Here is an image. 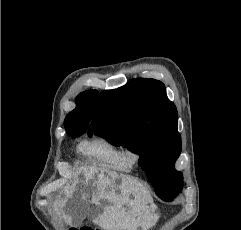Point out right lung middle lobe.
Returning a JSON list of instances; mask_svg holds the SVG:
<instances>
[{
  "instance_id": "right-lung-middle-lobe-1",
  "label": "right lung middle lobe",
  "mask_w": 241,
  "mask_h": 230,
  "mask_svg": "<svg viewBox=\"0 0 241 230\" xmlns=\"http://www.w3.org/2000/svg\"><path fill=\"white\" fill-rule=\"evenodd\" d=\"M85 132V130H73L69 133H67L69 136L71 137H79L80 135H82Z\"/></svg>"
}]
</instances>
